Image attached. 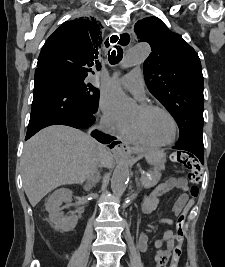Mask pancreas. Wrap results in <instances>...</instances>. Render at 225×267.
<instances>
[{
	"label": "pancreas",
	"instance_id": "obj_1",
	"mask_svg": "<svg viewBox=\"0 0 225 267\" xmlns=\"http://www.w3.org/2000/svg\"><path fill=\"white\" fill-rule=\"evenodd\" d=\"M164 169V162L155 166L152 170H149L141 178V184L145 189H149L155 186L161 178V170Z\"/></svg>",
	"mask_w": 225,
	"mask_h": 267
}]
</instances>
